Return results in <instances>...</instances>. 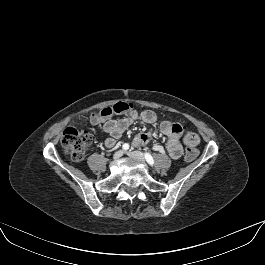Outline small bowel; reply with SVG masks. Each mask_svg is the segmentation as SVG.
<instances>
[{
    "instance_id": "1",
    "label": "small bowel",
    "mask_w": 265,
    "mask_h": 265,
    "mask_svg": "<svg viewBox=\"0 0 265 265\" xmlns=\"http://www.w3.org/2000/svg\"><path fill=\"white\" fill-rule=\"evenodd\" d=\"M136 121H141L151 126V128L134 137L135 146H142L153 141V128L158 124L157 114L152 110H144L142 112L130 111L125 116L118 119H108L101 125V130L107 135L105 145L108 148L115 146L117 140L123 133ZM161 132L167 137L166 149L173 159H178L183 153V145L195 147L199 143V136L191 131L183 129L178 122L162 121L160 124Z\"/></svg>"
}]
</instances>
